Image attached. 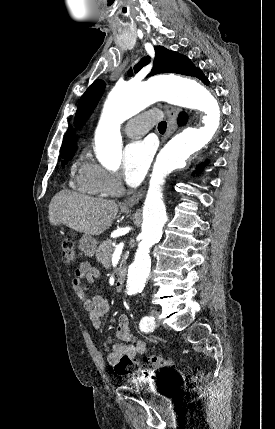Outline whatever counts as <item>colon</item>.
<instances>
[{
  "instance_id": "colon-1",
  "label": "colon",
  "mask_w": 275,
  "mask_h": 429,
  "mask_svg": "<svg viewBox=\"0 0 275 429\" xmlns=\"http://www.w3.org/2000/svg\"><path fill=\"white\" fill-rule=\"evenodd\" d=\"M77 259L76 248L71 241H64L62 244V261L65 265H72ZM147 364L151 367L163 370L171 366L172 362L169 358L161 355H150L147 360ZM117 372L120 374H129L134 373L135 377L142 378L148 375V369H146L142 364L132 363L127 359L121 360L120 364L117 367Z\"/></svg>"
}]
</instances>
